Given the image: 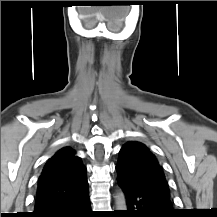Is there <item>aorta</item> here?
Masks as SVG:
<instances>
[{"label":"aorta","mask_w":217,"mask_h":217,"mask_svg":"<svg viewBox=\"0 0 217 217\" xmlns=\"http://www.w3.org/2000/svg\"><path fill=\"white\" fill-rule=\"evenodd\" d=\"M115 207L116 210H127L126 198L121 190L117 191L115 195Z\"/></svg>","instance_id":"1"}]
</instances>
